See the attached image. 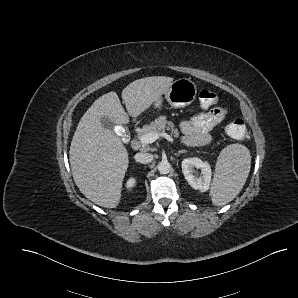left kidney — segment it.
<instances>
[{
	"instance_id": "obj_1",
	"label": "left kidney",
	"mask_w": 298,
	"mask_h": 298,
	"mask_svg": "<svg viewBox=\"0 0 298 298\" xmlns=\"http://www.w3.org/2000/svg\"><path fill=\"white\" fill-rule=\"evenodd\" d=\"M182 173L188 184L201 192L209 191L212 181V166L210 162L199 157H186L181 162ZM194 168H200L202 176H197Z\"/></svg>"
}]
</instances>
